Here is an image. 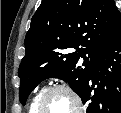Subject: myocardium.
Listing matches in <instances>:
<instances>
[{"mask_svg": "<svg viewBox=\"0 0 121 113\" xmlns=\"http://www.w3.org/2000/svg\"><path fill=\"white\" fill-rule=\"evenodd\" d=\"M56 92H65L66 94H68V96L73 100L74 102V109L73 110H81L82 109V99L80 97V95L69 85L67 84H56L53 85L49 88H47L46 90H44L38 101L36 102L35 108L34 110L39 113V111H41L43 109V105L46 101V99L56 93ZM74 113V112H71Z\"/></svg>", "mask_w": 121, "mask_h": 113, "instance_id": "f54148a6", "label": "myocardium"}]
</instances>
